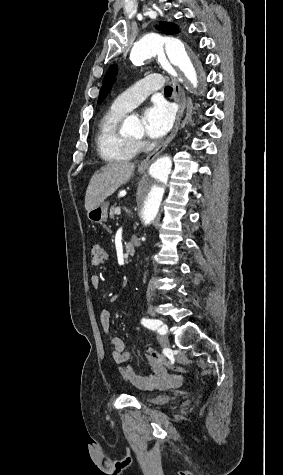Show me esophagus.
Here are the masks:
<instances>
[{
  "label": "esophagus",
  "instance_id": "34e87169",
  "mask_svg": "<svg viewBox=\"0 0 283 475\" xmlns=\"http://www.w3.org/2000/svg\"><path fill=\"white\" fill-rule=\"evenodd\" d=\"M171 81L173 84L174 99L179 106L174 127L168 138L156 150L147 155V157L140 163L139 170H145L147 167H149V165L160 155V153L163 152V150H165L167 145L173 140L179 129L180 121L186 108V96L177 80L171 77Z\"/></svg>",
  "mask_w": 283,
  "mask_h": 475
}]
</instances>
